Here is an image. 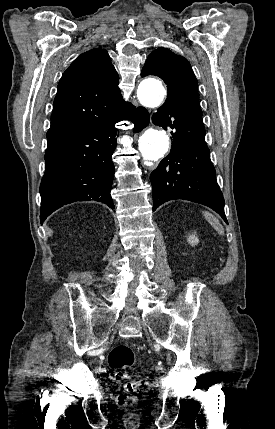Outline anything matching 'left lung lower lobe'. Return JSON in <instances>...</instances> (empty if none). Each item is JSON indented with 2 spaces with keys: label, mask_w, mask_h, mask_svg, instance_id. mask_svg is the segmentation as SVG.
Returning a JSON list of instances; mask_svg holds the SVG:
<instances>
[{
  "label": "left lung lower lobe",
  "mask_w": 275,
  "mask_h": 429,
  "mask_svg": "<svg viewBox=\"0 0 275 429\" xmlns=\"http://www.w3.org/2000/svg\"><path fill=\"white\" fill-rule=\"evenodd\" d=\"M152 121L171 130L173 136L170 153L150 175L153 211L166 201L184 199L212 208L228 224L223 194L205 142L202 117L164 103L153 114Z\"/></svg>",
  "instance_id": "1"
}]
</instances>
